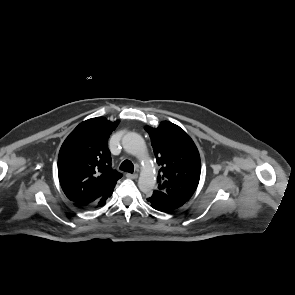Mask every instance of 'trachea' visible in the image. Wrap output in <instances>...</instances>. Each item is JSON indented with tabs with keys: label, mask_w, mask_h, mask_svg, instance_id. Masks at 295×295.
<instances>
[{
	"label": "trachea",
	"mask_w": 295,
	"mask_h": 295,
	"mask_svg": "<svg viewBox=\"0 0 295 295\" xmlns=\"http://www.w3.org/2000/svg\"><path fill=\"white\" fill-rule=\"evenodd\" d=\"M120 170L133 173L134 172V165L130 160H124L120 165Z\"/></svg>",
	"instance_id": "trachea-1"
}]
</instances>
